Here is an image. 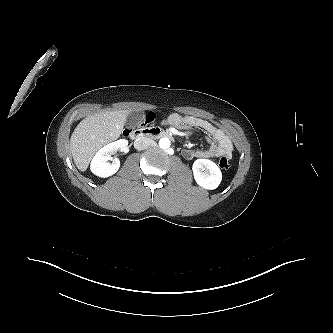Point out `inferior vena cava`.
<instances>
[{"label":"inferior vena cava","instance_id":"1","mask_svg":"<svg viewBox=\"0 0 333 333\" xmlns=\"http://www.w3.org/2000/svg\"><path fill=\"white\" fill-rule=\"evenodd\" d=\"M152 141L147 137H139L134 142V147L137 150H144L151 145Z\"/></svg>","mask_w":333,"mask_h":333}]
</instances>
